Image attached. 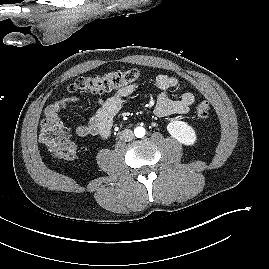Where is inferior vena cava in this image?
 <instances>
[{"mask_svg": "<svg viewBox=\"0 0 269 269\" xmlns=\"http://www.w3.org/2000/svg\"><path fill=\"white\" fill-rule=\"evenodd\" d=\"M119 138L125 142L132 141L134 138V133L132 130L125 129L120 133Z\"/></svg>", "mask_w": 269, "mask_h": 269, "instance_id": "obj_1", "label": "inferior vena cava"}]
</instances>
